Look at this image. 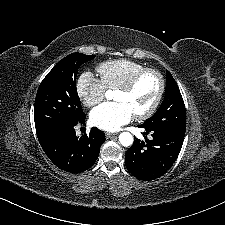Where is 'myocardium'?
<instances>
[{
	"mask_svg": "<svg viewBox=\"0 0 225 225\" xmlns=\"http://www.w3.org/2000/svg\"><path fill=\"white\" fill-rule=\"evenodd\" d=\"M146 74H154L158 78L159 87H158L157 95H156L153 103L151 104V106L141 113L134 114V117L137 120L147 119L152 114H154V112L159 107L160 102H161L164 92H165V80H164L163 75L156 69L144 68V69L140 70L139 72H137L136 74H134L124 85H122L121 87H119L117 89V91H121L124 93L131 92L135 88V86L139 82V80Z\"/></svg>",
	"mask_w": 225,
	"mask_h": 225,
	"instance_id": "obj_1",
	"label": "myocardium"
}]
</instances>
